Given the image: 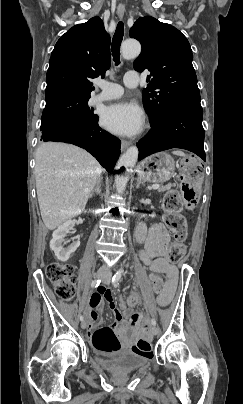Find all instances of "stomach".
Here are the masks:
<instances>
[{"label":"stomach","mask_w":243,"mask_h":404,"mask_svg":"<svg viewBox=\"0 0 243 404\" xmlns=\"http://www.w3.org/2000/svg\"><path fill=\"white\" fill-rule=\"evenodd\" d=\"M138 175L148 182L162 183L168 181L175 176V162L165 152L153 154L139 164Z\"/></svg>","instance_id":"obj_1"}]
</instances>
